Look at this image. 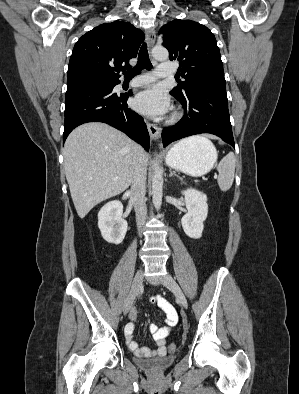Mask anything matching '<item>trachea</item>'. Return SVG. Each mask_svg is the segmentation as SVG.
<instances>
[{"label": "trachea", "mask_w": 299, "mask_h": 394, "mask_svg": "<svg viewBox=\"0 0 299 394\" xmlns=\"http://www.w3.org/2000/svg\"><path fill=\"white\" fill-rule=\"evenodd\" d=\"M146 68L150 70L152 68V64L149 59L148 55V50H147V45L146 43H143V45L140 48L139 54H138V62L135 67L128 71H124L123 74L125 76V79H131L134 76L138 75L141 73V71Z\"/></svg>", "instance_id": "1"}]
</instances>
